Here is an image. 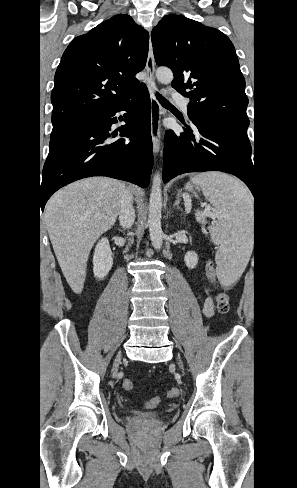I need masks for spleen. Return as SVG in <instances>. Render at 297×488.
I'll use <instances>...</instances> for the list:
<instances>
[{
	"mask_svg": "<svg viewBox=\"0 0 297 488\" xmlns=\"http://www.w3.org/2000/svg\"><path fill=\"white\" fill-rule=\"evenodd\" d=\"M204 196L216 209L217 221L209 227L215 244L218 276L222 282L238 279L245 270L252 252L253 202L249 191L236 178L220 172L195 175ZM204 213L196 212L204 222Z\"/></svg>",
	"mask_w": 297,
	"mask_h": 488,
	"instance_id": "obj_1",
	"label": "spleen"
}]
</instances>
